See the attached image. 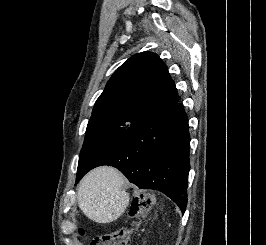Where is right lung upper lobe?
<instances>
[{"label":"right lung upper lobe","mask_w":266,"mask_h":245,"mask_svg":"<svg viewBox=\"0 0 266 245\" xmlns=\"http://www.w3.org/2000/svg\"><path fill=\"white\" fill-rule=\"evenodd\" d=\"M178 100L167 66L156 54L142 52L115 71L97 99L92 116L122 114L143 119Z\"/></svg>","instance_id":"obj_1"}]
</instances>
